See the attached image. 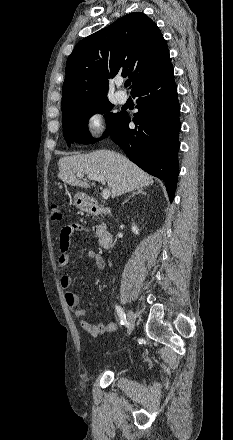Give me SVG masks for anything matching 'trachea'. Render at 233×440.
<instances>
[{"label":"trachea","mask_w":233,"mask_h":440,"mask_svg":"<svg viewBox=\"0 0 233 440\" xmlns=\"http://www.w3.org/2000/svg\"><path fill=\"white\" fill-rule=\"evenodd\" d=\"M130 84H131V81L127 80V81L125 82V87L130 86Z\"/></svg>","instance_id":"1"}]
</instances>
